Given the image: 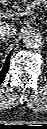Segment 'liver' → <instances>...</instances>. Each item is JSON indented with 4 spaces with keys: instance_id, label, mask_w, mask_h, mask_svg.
Wrapping results in <instances>:
<instances>
[{
    "instance_id": "6515ba94",
    "label": "liver",
    "mask_w": 47,
    "mask_h": 129,
    "mask_svg": "<svg viewBox=\"0 0 47 129\" xmlns=\"http://www.w3.org/2000/svg\"><path fill=\"white\" fill-rule=\"evenodd\" d=\"M11 19L12 21L17 20V14L16 13H8V12H2L0 13V26L4 24L5 20Z\"/></svg>"
}]
</instances>
